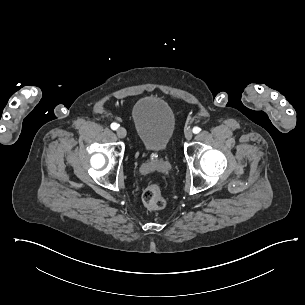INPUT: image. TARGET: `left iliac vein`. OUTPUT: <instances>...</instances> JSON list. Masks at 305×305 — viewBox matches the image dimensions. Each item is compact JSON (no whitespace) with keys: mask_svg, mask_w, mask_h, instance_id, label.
<instances>
[{"mask_svg":"<svg viewBox=\"0 0 305 305\" xmlns=\"http://www.w3.org/2000/svg\"><path fill=\"white\" fill-rule=\"evenodd\" d=\"M184 135L187 140H190L193 137V132L191 129H187V130H185Z\"/></svg>","mask_w":305,"mask_h":305,"instance_id":"4c4485c4","label":"left iliac vein"}]
</instances>
